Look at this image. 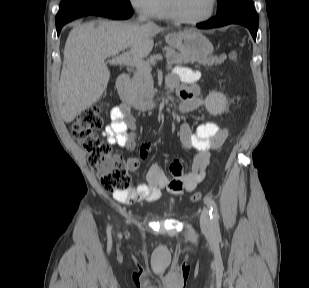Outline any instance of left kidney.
<instances>
[{
  "label": "left kidney",
  "mask_w": 309,
  "mask_h": 288,
  "mask_svg": "<svg viewBox=\"0 0 309 288\" xmlns=\"http://www.w3.org/2000/svg\"><path fill=\"white\" fill-rule=\"evenodd\" d=\"M227 105V99L221 92L209 93L205 99V107L212 115L221 114Z\"/></svg>",
  "instance_id": "1"
}]
</instances>
